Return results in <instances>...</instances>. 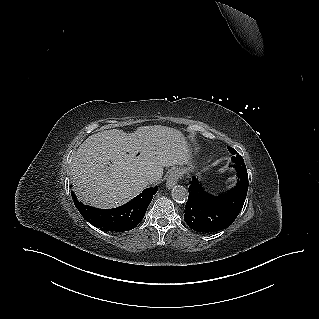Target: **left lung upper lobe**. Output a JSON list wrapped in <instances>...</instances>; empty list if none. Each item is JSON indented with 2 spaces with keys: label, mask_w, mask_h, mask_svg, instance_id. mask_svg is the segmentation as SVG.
Wrapping results in <instances>:
<instances>
[{
  "label": "left lung upper lobe",
  "mask_w": 319,
  "mask_h": 319,
  "mask_svg": "<svg viewBox=\"0 0 319 319\" xmlns=\"http://www.w3.org/2000/svg\"><path fill=\"white\" fill-rule=\"evenodd\" d=\"M228 150L230 151L231 154L234 156L232 157V162L235 164H244L243 158L239 153H237L232 147L228 146Z\"/></svg>",
  "instance_id": "5c2ea615"
}]
</instances>
